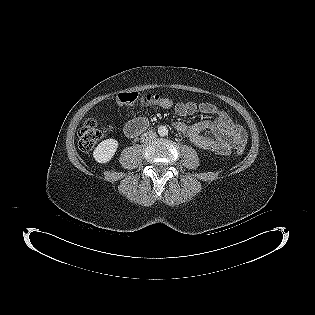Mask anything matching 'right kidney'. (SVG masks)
Here are the masks:
<instances>
[{"label": "right kidney", "mask_w": 315, "mask_h": 315, "mask_svg": "<svg viewBox=\"0 0 315 315\" xmlns=\"http://www.w3.org/2000/svg\"><path fill=\"white\" fill-rule=\"evenodd\" d=\"M118 145V141L112 138L100 142L93 151L94 159L101 164L109 162L115 155Z\"/></svg>", "instance_id": "obj_1"}]
</instances>
